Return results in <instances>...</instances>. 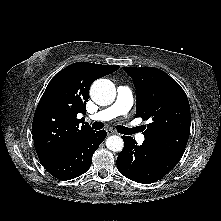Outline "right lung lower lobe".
Returning a JSON list of instances; mask_svg holds the SVG:
<instances>
[{"instance_id": "1", "label": "right lung lower lobe", "mask_w": 221, "mask_h": 221, "mask_svg": "<svg viewBox=\"0 0 221 221\" xmlns=\"http://www.w3.org/2000/svg\"><path fill=\"white\" fill-rule=\"evenodd\" d=\"M106 131L92 130L53 160L42 163L44 168L60 180L74 179L90 168L92 155L106 138Z\"/></svg>"}]
</instances>
